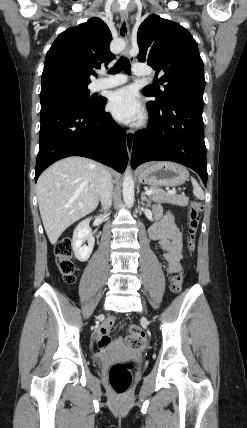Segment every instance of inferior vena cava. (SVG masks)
<instances>
[{
    "label": "inferior vena cava",
    "mask_w": 247,
    "mask_h": 428,
    "mask_svg": "<svg viewBox=\"0 0 247 428\" xmlns=\"http://www.w3.org/2000/svg\"><path fill=\"white\" fill-rule=\"evenodd\" d=\"M112 178L109 169L102 167L100 200L104 210H108L112 204Z\"/></svg>",
    "instance_id": "obj_1"
}]
</instances>
